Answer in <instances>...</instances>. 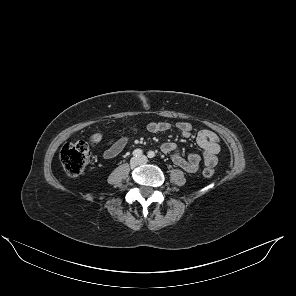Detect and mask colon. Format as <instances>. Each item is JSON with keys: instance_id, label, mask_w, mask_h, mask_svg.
<instances>
[{"instance_id": "1", "label": "colon", "mask_w": 296, "mask_h": 296, "mask_svg": "<svg viewBox=\"0 0 296 296\" xmlns=\"http://www.w3.org/2000/svg\"><path fill=\"white\" fill-rule=\"evenodd\" d=\"M91 142L97 143L101 140L100 134H95L90 138ZM90 158V150L88 143L83 140L70 142L65 144L60 151V161L62 166L71 177L79 176L85 170ZM215 173L212 166H206L203 175L211 177Z\"/></svg>"}]
</instances>
